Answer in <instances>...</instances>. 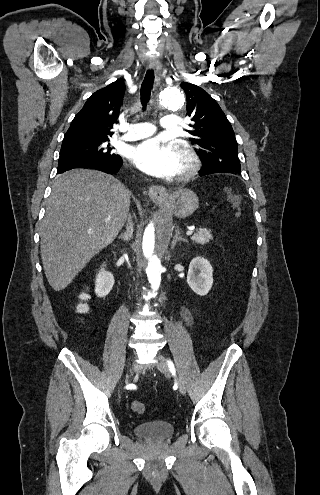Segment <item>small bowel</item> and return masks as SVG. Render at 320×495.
Wrapping results in <instances>:
<instances>
[{
	"label": "small bowel",
	"instance_id": "obj_1",
	"mask_svg": "<svg viewBox=\"0 0 320 495\" xmlns=\"http://www.w3.org/2000/svg\"><path fill=\"white\" fill-rule=\"evenodd\" d=\"M181 316L188 326H192L194 321L196 320L195 310H194V308L189 307V306L182 307Z\"/></svg>",
	"mask_w": 320,
	"mask_h": 495
}]
</instances>
